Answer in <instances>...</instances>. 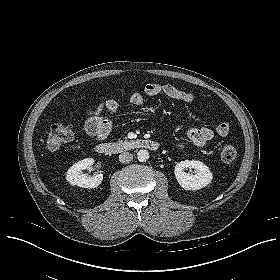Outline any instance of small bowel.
Returning <instances> with one entry per match:
<instances>
[{
    "label": "small bowel",
    "instance_id": "obj_1",
    "mask_svg": "<svg viewBox=\"0 0 280 280\" xmlns=\"http://www.w3.org/2000/svg\"><path fill=\"white\" fill-rule=\"evenodd\" d=\"M160 93H163L169 98L187 103L194 101L196 98L194 93L180 90L172 85L148 82L142 91L132 93L129 101L135 106H142L145 95L153 97ZM119 108L120 104L115 99L102 100L96 109L88 108L86 110V129L89 130V126L94 125L98 129L99 138L107 137L112 127V119L103 117L102 112L106 111L112 116L119 111ZM230 130L228 122L218 124L215 130L208 126L191 128L187 133L188 143H177L176 147L179 150L187 146L198 147L210 141L215 133L221 137H226L230 134Z\"/></svg>",
    "mask_w": 280,
    "mask_h": 280
}]
</instances>
